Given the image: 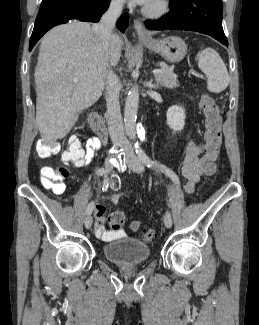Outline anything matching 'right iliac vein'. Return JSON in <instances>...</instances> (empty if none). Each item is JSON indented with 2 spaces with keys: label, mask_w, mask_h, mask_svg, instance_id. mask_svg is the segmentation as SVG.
<instances>
[{
  "label": "right iliac vein",
  "mask_w": 259,
  "mask_h": 325,
  "mask_svg": "<svg viewBox=\"0 0 259 325\" xmlns=\"http://www.w3.org/2000/svg\"><path fill=\"white\" fill-rule=\"evenodd\" d=\"M104 168H105V175L109 174L113 168L112 165V161L110 158H107L104 162ZM92 222H93V218L92 216L89 214L86 219H85V227L86 229H90V227L92 226Z\"/></svg>",
  "instance_id": "63e3f726"
}]
</instances>
